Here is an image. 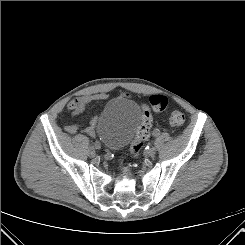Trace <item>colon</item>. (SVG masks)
<instances>
[{"label":"colon","mask_w":245,"mask_h":245,"mask_svg":"<svg viewBox=\"0 0 245 245\" xmlns=\"http://www.w3.org/2000/svg\"><path fill=\"white\" fill-rule=\"evenodd\" d=\"M168 104V100L164 95H153L150 97V105L156 112H163ZM168 121L173 126H180L185 122V115L180 110L173 111ZM152 127V115L148 108L143 109L141 123L137 129L136 136L131 145V154L133 157H138L145 141L150 137Z\"/></svg>","instance_id":"5ec220e1"}]
</instances>
